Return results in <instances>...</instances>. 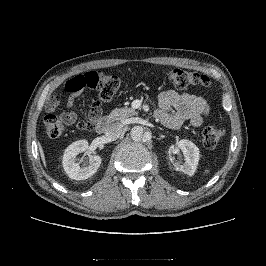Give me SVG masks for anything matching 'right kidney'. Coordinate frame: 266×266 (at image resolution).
Instances as JSON below:
<instances>
[{"label": "right kidney", "instance_id": "right-kidney-1", "mask_svg": "<svg viewBox=\"0 0 266 266\" xmlns=\"http://www.w3.org/2000/svg\"><path fill=\"white\" fill-rule=\"evenodd\" d=\"M88 150V142L80 140L69 145L63 155V168L69 178L74 180H85L95 174L100 167L101 157L99 155L89 156V164L82 166L76 162V156Z\"/></svg>", "mask_w": 266, "mask_h": 266}]
</instances>
